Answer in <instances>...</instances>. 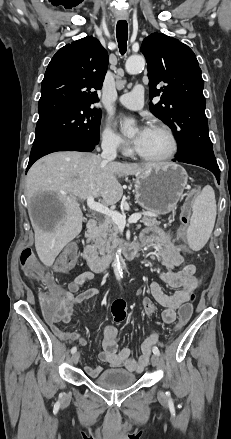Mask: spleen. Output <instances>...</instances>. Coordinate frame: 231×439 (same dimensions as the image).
Segmentation results:
<instances>
[{"label": "spleen", "mask_w": 231, "mask_h": 439, "mask_svg": "<svg viewBox=\"0 0 231 439\" xmlns=\"http://www.w3.org/2000/svg\"><path fill=\"white\" fill-rule=\"evenodd\" d=\"M216 219L215 193L207 185L195 199L193 215L187 229V239L193 250H200L207 243Z\"/></svg>", "instance_id": "spleen-1"}]
</instances>
